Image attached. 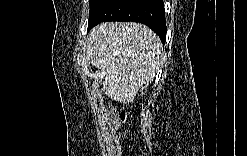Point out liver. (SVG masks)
<instances>
[{
    "label": "liver",
    "instance_id": "liver-1",
    "mask_svg": "<svg viewBox=\"0 0 247 156\" xmlns=\"http://www.w3.org/2000/svg\"><path fill=\"white\" fill-rule=\"evenodd\" d=\"M86 56L105 74L102 90L116 101H134L163 64L162 43L140 23L105 22L86 40Z\"/></svg>",
    "mask_w": 247,
    "mask_h": 156
}]
</instances>
